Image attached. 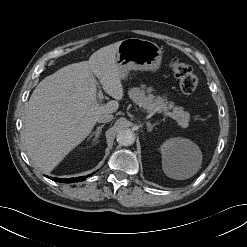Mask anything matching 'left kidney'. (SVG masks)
<instances>
[{"label": "left kidney", "instance_id": "obj_1", "mask_svg": "<svg viewBox=\"0 0 247 247\" xmlns=\"http://www.w3.org/2000/svg\"><path fill=\"white\" fill-rule=\"evenodd\" d=\"M163 164L176 165L180 158L189 159L197 151V146L185 138H171L160 147Z\"/></svg>", "mask_w": 247, "mask_h": 247}]
</instances>
